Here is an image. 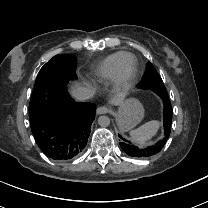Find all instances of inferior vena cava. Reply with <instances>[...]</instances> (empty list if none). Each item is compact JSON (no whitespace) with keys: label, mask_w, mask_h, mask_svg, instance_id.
Wrapping results in <instances>:
<instances>
[{"label":"inferior vena cava","mask_w":208,"mask_h":208,"mask_svg":"<svg viewBox=\"0 0 208 208\" xmlns=\"http://www.w3.org/2000/svg\"><path fill=\"white\" fill-rule=\"evenodd\" d=\"M72 95L79 101H85L93 97L94 91L86 87H79L72 91Z\"/></svg>","instance_id":"1"}]
</instances>
